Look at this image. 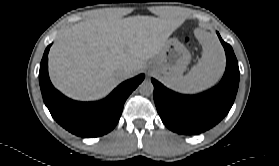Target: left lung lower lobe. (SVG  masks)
Returning a JSON list of instances; mask_svg holds the SVG:
<instances>
[{
	"instance_id": "1",
	"label": "left lung lower lobe",
	"mask_w": 279,
	"mask_h": 166,
	"mask_svg": "<svg viewBox=\"0 0 279 166\" xmlns=\"http://www.w3.org/2000/svg\"><path fill=\"white\" fill-rule=\"evenodd\" d=\"M217 35L226 52V70L220 83L199 95L175 93L155 79L154 102L162 122L172 131L185 134L202 133L220 122L231 109L239 85V67L232 47Z\"/></svg>"
}]
</instances>
